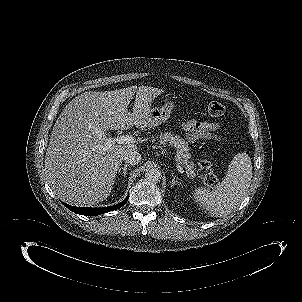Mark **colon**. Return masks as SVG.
<instances>
[{"label":"colon","instance_id":"colon-1","mask_svg":"<svg viewBox=\"0 0 302 302\" xmlns=\"http://www.w3.org/2000/svg\"><path fill=\"white\" fill-rule=\"evenodd\" d=\"M208 112L213 117H220L225 113V106L217 101H213L208 105ZM199 175L204 183L210 187L217 184V177L212 170V163L209 159L205 158L199 164Z\"/></svg>","mask_w":302,"mask_h":302}]
</instances>
